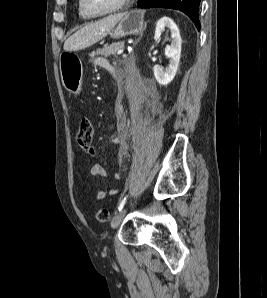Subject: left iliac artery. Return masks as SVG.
Instances as JSON below:
<instances>
[{
    "label": "left iliac artery",
    "instance_id": "1",
    "mask_svg": "<svg viewBox=\"0 0 267 298\" xmlns=\"http://www.w3.org/2000/svg\"><path fill=\"white\" fill-rule=\"evenodd\" d=\"M127 197H124L122 199V201L120 202L119 206H118V210H122V208L124 207L125 203H126Z\"/></svg>",
    "mask_w": 267,
    "mask_h": 298
}]
</instances>
